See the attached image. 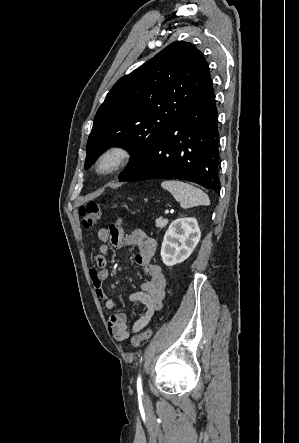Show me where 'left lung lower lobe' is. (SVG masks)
<instances>
[{
  "mask_svg": "<svg viewBox=\"0 0 299 443\" xmlns=\"http://www.w3.org/2000/svg\"><path fill=\"white\" fill-rule=\"evenodd\" d=\"M217 117L211 81L146 156L119 181L183 179L219 194Z\"/></svg>",
  "mask_w": 299,
  "mask_h": 443,
  "instance_id": "1",
  "label": "left lung lower lobe"
}]
</instances>
